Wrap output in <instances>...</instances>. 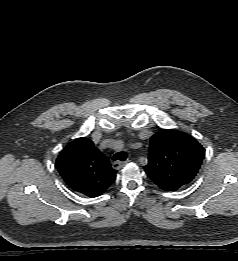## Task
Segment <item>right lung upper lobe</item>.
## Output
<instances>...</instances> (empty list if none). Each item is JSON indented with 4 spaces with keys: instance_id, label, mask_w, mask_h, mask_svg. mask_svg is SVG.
Masks as SVG:
<instances>
[{
    "instance_id": "obj_1",
    "label": "right lung upper lobe",
    "mask_w": 238,
    "mask_h": 261,
    "mask_svg": "<svg viewBox=\"0 0 238 261\" xmlns=\"http://www.w3.org/2000/svg\"><path fill=\"white\" fill-rule=\"evenodd\" d=\"M56 166L70 188L88 197H96L106 191L117 173L86 137L66 145L56 160Z\"/></svg>"
}]
</instances>
